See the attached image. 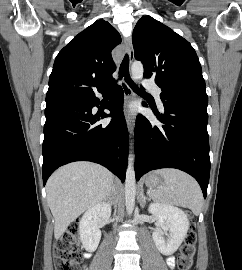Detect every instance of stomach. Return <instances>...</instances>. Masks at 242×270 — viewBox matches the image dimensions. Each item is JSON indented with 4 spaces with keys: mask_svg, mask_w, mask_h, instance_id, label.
I'll list each match as a JSON object with an SVG mask.
<instances>
[{
    "mask_svg": "<svg viewBox=\"0 0 242 270\" xmlns=\"http://www.w3.org/2000/svg\"><path fill=\"white\" fill-rule=\"evenodd\" d=\"M146 186L152 191L155 188H158L161 184V178L157 173H151L145 179Z\"/></svg>",
    "mask_w": 242,
    "mask_h": 270,
    "instance_id": "stomach-1",
    "label": "stomach"
}]
</instances>
